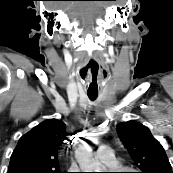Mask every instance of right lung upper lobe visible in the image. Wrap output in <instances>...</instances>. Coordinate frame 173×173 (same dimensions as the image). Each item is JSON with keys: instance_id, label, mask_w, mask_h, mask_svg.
Listing matches in <instances>:
<instances>
[{"instance_id": "1", "label": "right lung upper lobe", "mask_w": 173, "mask_h": 173, "mask_svg": "<svg viewBox=\"0 0 173 173\" xmlns=\"http://www.w3.org/2000/svg\"><path fill=\"white\" fill-rule=\"evenodd\" d=\"M67 135L66 126L60 120L43 121L19 139L8 173L59 171L58 154Z\"/></svg>"}]
</instances>
